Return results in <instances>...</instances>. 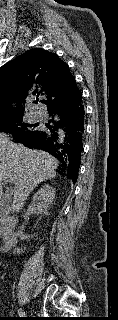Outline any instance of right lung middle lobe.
Masks as SVG:
<instances>
[{
	"mask_svg": "<svg viewBox=\"0 0 118 320\" xmlns=\"http://www.w3.org/2000/svg\"><path fill=\"white\" fill-rule=\"evenodd\" d=\"M37 124L23 121V117L7 116L0 119V132L12 134L15 141L25 138L38 130Z\"/></svg>",
	"mask_w": 118,
	"mask_h": 320,
	"instance_id": "obj_1",
	"label": "right lung middle lobe"
}]
</instances>
